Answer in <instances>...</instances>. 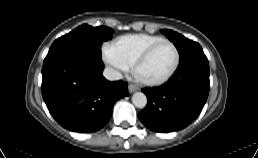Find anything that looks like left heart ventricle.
I'll use <instances>...</instances> for the list:
<instances>
[{
	"label": "left heart ventricle",
	"instance_id": "b2bd125f",
	"mask_svg": "<svg viewBox=\"0 0 258 158\" xmlns=\"http://www.w3.org/2000/svg\"><path fill=\"white\" fill-rule=\"evenodd\" d=\"M176 53L170 44H162L147 59L139 70V76L145 79H158L174 65Z\"/></svg>",
	"mask_w": 258,
	"mask_h": 158
}]
</instances>
